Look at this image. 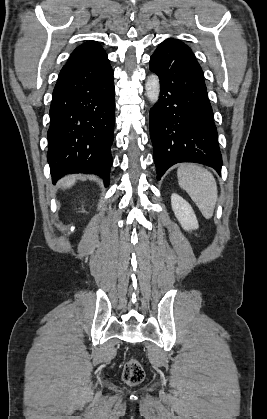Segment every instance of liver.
<instances>
[{
  "instance_id": "1",
  "label": "liver",
  "mask_w": 267,
  "mask_h": 419,
  "mask_svg": "<svg viewBox=\"0 0 267 419\" xmlns=\"http://www.w3.org/2000/svg\"><path fill=\"white\" fill-rule=\"evenodd\" d=\"M75 181H76V177L73 175H69L61 181V186L63 188H69L75 183Z\"/></svg>"
}]
</instances>
